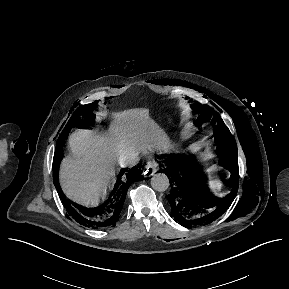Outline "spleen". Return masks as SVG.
Returning a JSON list of instances; mask_svg holds the SVG:
<instances>
[{
	"mask_svg": "<svg viewBox=\"0 0 289 289\" xmlns=\"http://www.w3.org/2000/svg\"><path fill=\"white\" fill-rule=\"evenodd\" d=\"M208 185L214 192H217L221 186V181L218 179H215V180L210 181Z\"/></svg>",
	"mask_w": 289,
	"mask_h": 289,
	"instance_id": "spleen-1",
	"label": "spleen"
}]
</instances>
